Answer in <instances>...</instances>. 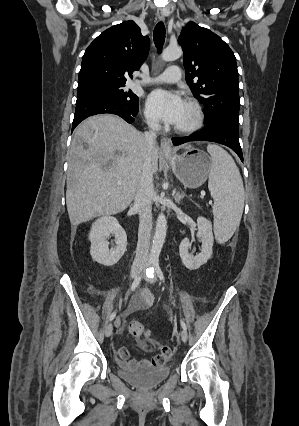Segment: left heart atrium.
Wrapping results in <instances>:
<instances>
[{
    "label": "left heart atrium",
    "mask_w": 299,
    "mask_h": 426,
    "mask_svg": "<svg viewBox=\"0 0 299 426\" xmlns=\"http://www.w3.org/2000/svg\"><path fill=\"white\" fill-rule=\"evenodd\" d=\"M184 106L179 95L161 89L153 91L147 100L148 111L154 118L174 125L180 121Z\"/></svg>",
    "instance_id": "left-heart-atrium-1"
}]
</instances>
